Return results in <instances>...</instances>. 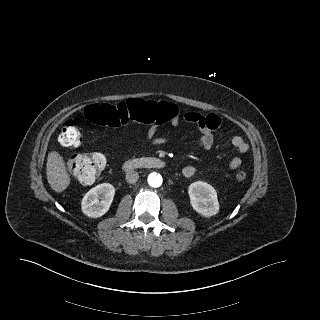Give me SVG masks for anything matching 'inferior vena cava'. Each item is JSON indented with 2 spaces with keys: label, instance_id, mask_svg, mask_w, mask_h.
<instances>
[{
  "label": "inferior vena cava",
  "instance_id": "inferior-vena-cava-1",
  "mask_svg": "<svg viewBox=\"0 0 320 320\" xmlns=\"http://www.w3.org/2000/svg\"><path fill=\"white\" fill-rule=\"evenodd\" d=\"M139 179V174L136 171H129L126 174V181L128 183H136Z\"/></svg>",
  "mask_w": 320,
  "mask_h": 320
}]
</instances>
